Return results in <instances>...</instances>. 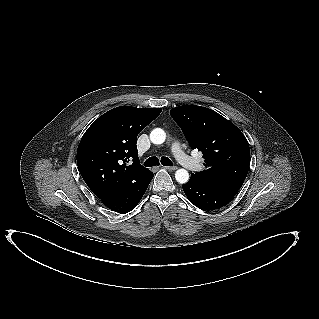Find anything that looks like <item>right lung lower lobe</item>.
Here are the masks:
<instances>
[{"mask_svg": "<svg viewBox=\"0 0 319 319\" xmlns=\"http://www.w3.org/2000/svg\"><path fill=\"white\" fill-rule=\"evenodd\" d=\"M153 176V173L147 170L134 181L118 189L111 196L102 199V203L118 213L130 212L141 200Z\"/></svg>", "mask_w": 319, "mask_h": 319, "instance_id": "1", "label": "right lung lower lobe"}]
</instances>
